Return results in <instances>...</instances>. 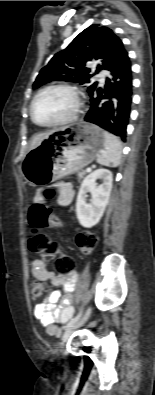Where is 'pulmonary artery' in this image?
Instances as JSON below:
<instances>
[{"label":"pulmonary artery","instance_id":"pulmonary-artery-1","mask_svg":"<svg viewBox=\"0 0 155 395\" xmlns=\"http://www.w3.org/2000/svg\"><path fill=\"white\" fill-rule=\"evenodd\" d=\"M98 82L100 85H103L105 82V74L103 72H100L97 76H96Z\"/></svg>","mask_w":155,"mask_h":395}]
</instances>
